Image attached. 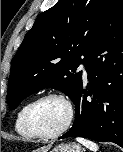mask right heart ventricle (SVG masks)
<instances>
[{"mask_svg":"<svg viewBox=\"0 0 123 152\" xmlns=\"http://www.w3.org/2000/svg\"><path fill=\"white\" fill-rule=\"evenodd\" d=\"M31 102L24 103L20 109L18 110L15 121H14V128L18 135L25 139H33L35 136L27 129L25 125V113L26 110Z\"/></svg>","mask_w":123,"mask_h":152,"instance_id":"right-heart-ventricle-1","label":"right heart ventricle"}]
</instances>
